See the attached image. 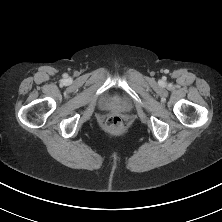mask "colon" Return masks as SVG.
Segmentation results:
<instances>
[{
	"mask_svg": "<svg viewBox=\"0 0 222 222\" xmlns=\"http://www.w3.org/2000/svg\"><path fill=\"white\" fill-rule=\"evenodd\" d=\"M106 126L113 131H119L123 127V121L119 116L113 115L107 119Z\"/></svg>",
	"mask_w": 222,
	"mask_h": 222,
	"instance_id": "5ec220e1",
	"label": "colon"
}]
</instances>
